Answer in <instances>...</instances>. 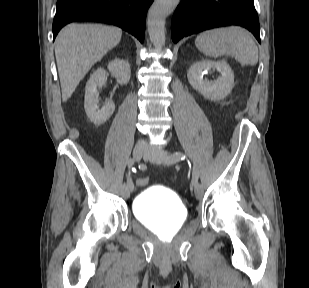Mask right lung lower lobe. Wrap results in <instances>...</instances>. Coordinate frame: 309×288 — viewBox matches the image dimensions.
Masks as SVG:
<instances>
[{
  "mask_svg": "<svg viewBox=\"0 0 309 288\" xmlns=\"http://www.w3.org/2000/svg\"><path fill=\"white\" fill-rule=\"evenodd\" d=\"M153 0H58L53 21V37L66 24L99 21L114 24L144 41L145 18Z\"/></svg>",
  "mask_w": 309,
  "mask_h": 288,
  "instance_id": "right-lung-lower-lobe-1",
  "label": "right lung lower lobe"
}]
</instances>
